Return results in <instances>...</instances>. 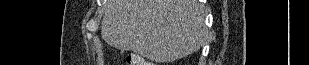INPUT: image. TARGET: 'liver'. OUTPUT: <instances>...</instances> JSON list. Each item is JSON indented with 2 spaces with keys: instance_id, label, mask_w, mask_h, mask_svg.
Listing matches in <instances>:
<instances>
[{
  "instance_id": "liver-1",
  "label": "liver",
  "mask_w": 309,
  "mask_h": 65,
  "mask_svg": "<svg viewBox=\"0 0 309 65\" xmlns=\"http://www.w3.org/2000/svg\"><path fill=\"white\" fill-rule=\"evenodd\" d=\"M203 5L197 0H107L104 41L156 62L175 61L205 40Z\"/></svg>"
}]
</instances>
